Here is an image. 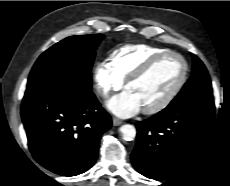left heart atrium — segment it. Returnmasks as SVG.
<instances>
[{
	"label": "left heart atrium",
	"mask_w": 230,
	"mask_h": 186,
	"mask_svg": "<svg viewBox=\"0 0 230 186\" xmlns=\"http://www.w3.org/2000/svg\"><path fill=\"white\" fill-rule=\"evenodd\" d=\"M107 108L115 115L125 118L140 112L142 106L135 94L126 90L121 94L112 97L107 102Z\"/></svg>",
	"instance_id": "obj_1"
}]
</instances>
